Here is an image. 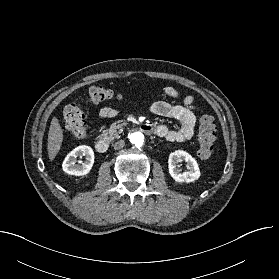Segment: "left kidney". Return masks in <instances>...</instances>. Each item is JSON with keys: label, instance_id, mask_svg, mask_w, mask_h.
Masks as SVG:
<instances>
[{"label": "left kidney", "instance_id": "1", "mask_svg": "<svg viewBox=\"0 0 279 279\" xmlns=\"http://www.w3.org/2000/svg\"><path fill=\"white\" fill-rule=\"evenodd\" d=\"M185 161L187 163L188 171L183 173L176 167L178 162ZM169 174L171 177L179 183H190L197 180L200 177V169L196 160L187 152L183 150H176L169 155L168 159Z\"/></svg>", "mask_w": 279, "mask_h": 279}]
</instances>
